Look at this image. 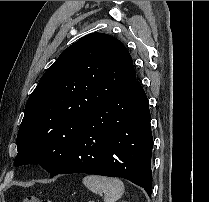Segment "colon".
I'll return each instance as SVG.
<instances>
[{
	"instance_id": "obj_1",
	"label": "colon",
	"mask_w": 209,
	"mask_h": 202,
	"mask_svg": "<svg viewBox=\"0 0 209 202\" xmlns=\"http://www.w3.org/2000/svg\"><path fill=\"white\" fill-rule=\"evenodd\" d=\"M22 202H53L50 199H46V198H38L35 196H29L23 199Z\"/></svg>"
}]
</instances>
